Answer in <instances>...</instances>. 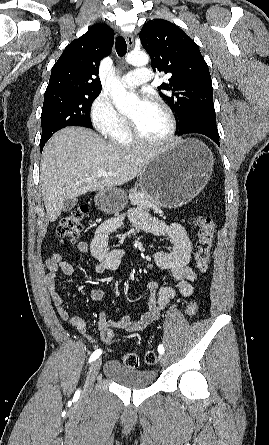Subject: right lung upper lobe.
<instances>
[{
    "label": "right lung upper lobe",
    "mask_w": 269,
    "mask_h": 445,
    "mask_svg": "<svg viewBox=\"0 0 269 445\" xmlns=\"http://www.w3.org/2000/svg\"><path fill=\"white\" fill-rule=\"evenodd\" d=\"M114 32L107 25H93L73 40L54 64L46 93L101 92L100 61L111 52Z\"/></svg>",
    "instance_id": "right-lung-upper-lobe-1"
}]
</instances>
